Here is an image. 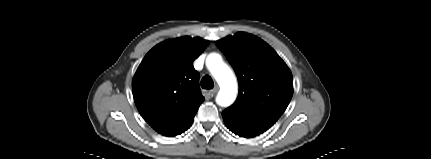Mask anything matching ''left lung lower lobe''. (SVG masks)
<instances>
[{"instance_id": "left-lung-lower-lobe-1", "label": "left lung lower lobe", "mask_w": 431, "mask_h": 159, "mask_svg": "<svg viewBox=\"0 0 431 159\" xmlns=\"http://www.w3.org/2000/svg\"><path fill=\"white\" fill-rule=\"evenodd\" d=\"M223 120L229 130H231L233 133L241 137L250 138V137L257 136L263 133L264 131H266L265 129H261V128L242 126L236 123L235 121L229 120L227 118H223Z\"/></svg>"}]
</instances>
